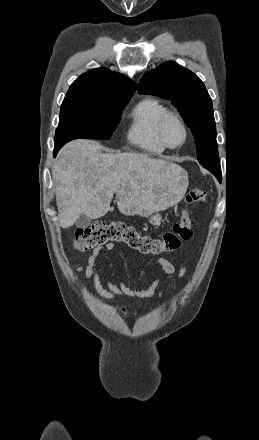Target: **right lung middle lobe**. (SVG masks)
<instances>
[{"mask_svg": "<svg viewBox=\"0 0 259 440\" xmlns=\"http://www.w3.org/2000/svg\"><path fill=\"white\" fill-rule=\"evenodd\" d=\"M130 98L108 105L64 100L55 133V144L64 145L77 138L110 139L120 114Z\"/></svg>", "mask_w": 259, "mask_h": 440, "instance_id": "obj_1", "label": "right lung middle lobe"}]
</instances>
